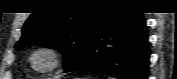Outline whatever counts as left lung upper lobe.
I'll return each mask as SVG.
<instances>
[{
    "label": "left lung upper lobe",
    "instance_id": "obj_1",
    "mask_svg": "<svg viewBox=\"0 0 177 79\" xmlns=\"http://www.w3.org/2000/svg\"><path fill=\"white\" fill-rule=\"evenodd\" d=\"M109 1H90L83 10L40 11L32 13L23 26V35L15 47L46 46L64 54V68L79 54L99 24Z\"/></svg>",
    "mask_w": 177,
    "mask_h": 79
}]
</instances>
